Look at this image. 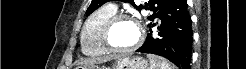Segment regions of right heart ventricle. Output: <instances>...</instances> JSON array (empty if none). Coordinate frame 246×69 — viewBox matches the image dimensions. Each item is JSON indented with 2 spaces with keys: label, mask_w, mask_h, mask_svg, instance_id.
Here are the masks:
<instances>
[{
  "label": "right heart ventricle",
  "mask_w": 246,
  "mask_h": 69,
  "mask_svg": "<svg viewBox=\"0 0 246 69\" xmlns=\"http://www.w3.org/2000/svg\"><path fill=\"white\" fill-rule=\"evenodd\" d=\"M116 14V8L103 6L90 14L81 33L82 52L91 57L105 56L110 53L102 42V29L106 20Z\"/></svg>",
  "instance_id": "e07e8e85"
}]
</instances>
